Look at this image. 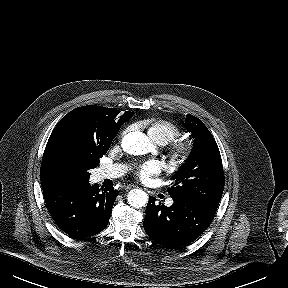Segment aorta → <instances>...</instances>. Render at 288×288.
I'll list each match as a JSON object with an SVG mask.
<instances>
[{"label":"aorta","mask_w":288,"mask_h":288,"mask_svg":"<svg viewBox=\"0 0 288 288\" xmlns=\"http://www.w3.org/2000/svg\"><path fill=\"white\" fill-rule=\"evenodd\" d=\"M122 148L131 155L147 154L152 144L149 138L141 132L128 133L122 140ZM128 203L134 208H141L148 202V195L141 189H132L128 192Z\"/></svg>","instance_id":"1"}]
</instances>
